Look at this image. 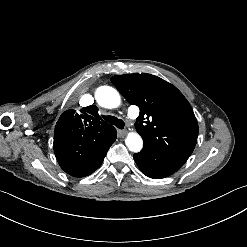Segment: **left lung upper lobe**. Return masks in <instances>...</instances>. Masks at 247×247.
<instances>
[{
    "label": "left lung upper lobe",
    "instance_id": "5c2ea615",
    "mask_svg": "<svg viewBox=\"0 0 247 247\" xmlns=\"http://www.w3.org/2000/svg\"><path fill=\"white\" fill-rule=\"evenodd\" d=\"M111 81L130 104L140 108L135 128L144 144L186 162L197 143L198 124L182 93L146 73L116 75Z\"/></svg>",
    "mask_w": 247,
    "mask_h": 247
}]
</instances>
